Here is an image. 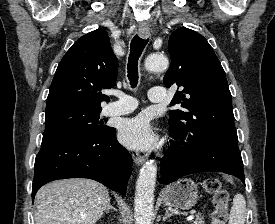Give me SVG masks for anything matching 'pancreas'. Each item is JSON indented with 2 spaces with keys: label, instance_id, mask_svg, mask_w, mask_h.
<instances>
[{
  "label": "pancreas",
  "instance_id": "obj_1",
  "mask_svg": "<svg viewBox=\"0 0 275 224\" xmlns=\"http://www.w3.org/2000/svg\"><path fill=\"white\" fill-rule=\"evenodd\" d=\"M193 224H204L203 216L197 215L196 219L193 221Z\"/></svg>",
  "mask_w": 275,
  "mask_h": 224
}]
</instances>
